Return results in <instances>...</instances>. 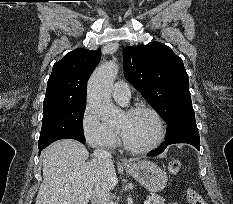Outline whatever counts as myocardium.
<instances>
[{
	"label": "myocardium",
	"instance_id": "f54148a6",
	"mask_svg": "<svg viewBox=\"0 0 233 204\" xmlns=\"http://www.w3.org/2000/svg\"><path fill=\"white\" fill-rule=\"evenodd\" d=\"M139 111H145V112L150 113L156 120V123L158 126V135L151 144L146 145V146H141V147L134 146L128 142L123 132L119 128H116V130L120 137V141L126 150L132 153H147L159 147L161 143L164 141L165 136H166V126L160 113L151 106H148L145 104H136V105H132L126 108L124 112L128 115H131Z\"/></svg>",
	"mask_w": 233,
	"mask_h": 204
}]
</instances>
